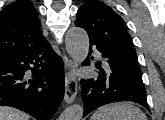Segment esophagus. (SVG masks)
Returning <instances> with one entry per match:
<instances>
[{"label":"esophagus","mask_w":165,"mask_h":120,"mask_svg":"<svg viewBox=\"0 0 165 120\" xmlns=\"http://www.w3.org/2000/svg\"><path fill=\"white\" fill-rule=\"evenodd\" d=\"M63 61L66 71L64 100L66 103H71L74 101L78 91V81L75 76L77 64L66 56L63 57Z\"/></svg>","instance_id":"1"}]
</instances>
